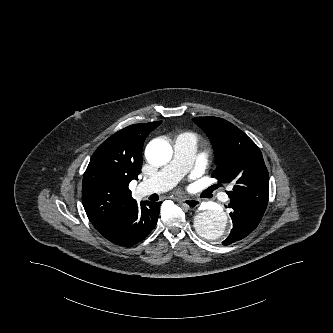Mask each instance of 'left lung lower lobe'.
<instances>
[{"label": "left lung lower lobe", "mask_w": 333, "mask_h": 333, "mask_svg": "<svg viewBox=\"0 0 333 333\" xmlns=\"http://www.w3.org/2000/svg\"><path fill=\"white\" fill-rule=\"evenodd\" d=\"M228 207L231 209L233 228L228 238L222 242L223 245H229L249 235L258 226L265 212L235 201H230Z\"/></svg>", "instance_id": "0a47b994"}]
</instances>
